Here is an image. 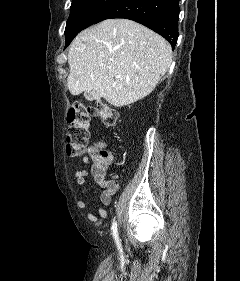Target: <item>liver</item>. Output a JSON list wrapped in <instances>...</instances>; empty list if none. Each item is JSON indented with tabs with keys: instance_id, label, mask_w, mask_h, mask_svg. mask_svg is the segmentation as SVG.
Listing matches in <instances>:
<instances>
[{
	"instance_id": "obj_1",
	"label": "liver",
	"mask_w": 240,
	"mask_h": 281,
	"mask_svg": "<svg viewBox=\"0 0 240 281\" xmlns=\"http://www.w3.org/2000/svg\"><path fill=\"white\" fill-rule=\"evenodd\" d=\"M171 62L163 37L129 19H107L73 40L67 86L72 95L93 93L122 107L149 95Z\"/></svg>"
}]
</instances>
